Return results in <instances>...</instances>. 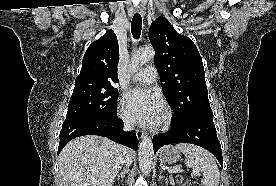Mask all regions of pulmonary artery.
<instances>
[{"mask_svg":"<svg viewBox=\"0 0 276 186\" xmlns=\"http://www.w3.org/2000/svg\"><path fill=\"white\" fill-rule=\"evenodd\" d=\"M158 76L157 70L153 66H148L142 69L134 76V80L143 84H151L156 81Z\"/></svg>","mask_w":276,"mask_h":186,"instance_id":"obj_1","label":"pulmonary artery"}]
</instances>
